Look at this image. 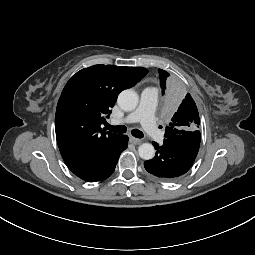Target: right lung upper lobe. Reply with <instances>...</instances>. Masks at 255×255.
Returning a JSON list of instances; mask_svg holds the SVG:
<instances>
[{
	"mask_svg": "<svg viewBox=\"0 0 255 255\" xmlns=\"http://www.w3.org/2000/svg\"><path fill=\"white\" fill-rule=\"evenodd\" d=\"M147 73L143 67L94 65L70 78L55 115L57 144L70 170L120 143L123 135L105 132L101 125L118 94L134 86Z\"/></svg>",
	"mask_w": 255,
	"mask_h": 255,
	"instance_id": "right-lung-upper-lobe-1",
	"label": "right lung upper lobe"
}]
</instances>
